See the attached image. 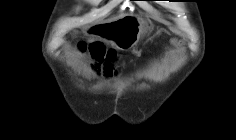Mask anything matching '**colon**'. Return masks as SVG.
I'll use <instances>...</instances> for the list:
<instances>
[{"mask_svg": "<svg viewBox=\"0 0 236 140\" xmlns=\"http://www.w3.org/2000/svg\"><path fill=\"white\" fill-rule=\"evenodd\" d=\"M79 46L83 50H88L89 53L95 58L114 57V53L111 51H107L101 42H93L90 43L89 45L82 42L79 44Z\"/></svg>", "mask_w": 236, "mask_h": 140, "instance_id": "1", "label": "colon"}]
</instances>
